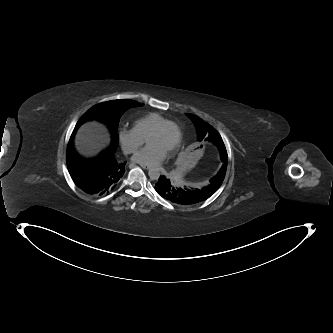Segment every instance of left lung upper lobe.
Returning <instances> with one entry per match:
<instances>
[{
    "instance_id": "left-lung-upper-lobe-1",
    "label": "left lung upper lobe",
    "mask_w": 333,
    "mask_h": 333,
    "mask_svg": "<svg viewBox=\"0 0 333 333\" xmlns=\"http://www.w3.org/2000/svg\"><path fill=\"white\" fill-rule=\"evenodd\" d=\"M187 116L195 124L199 141L208 140L210 142L217 144L221 149L220 155H221V160L224 164L221 167L218 174L211 179V183L213 184V186L216 189H218L224 180L226 168H227V164L225 163L228 159L227 152H226L225 146H223L224 151H222V146H221V144L224 145V143H223L220 135L209 124H207L206 122H204L203 120H201L200 118H198L197 116H195L193 114H187Z\"/></svg>"
}]
</instances>
